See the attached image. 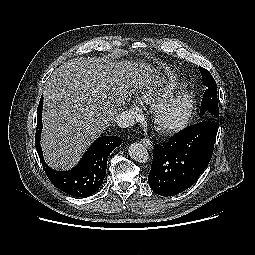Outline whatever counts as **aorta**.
I'll return each instance as SVG.
<instances>
[{
	"label": "aorta",
	"instance_id": "762f6f07",
	"mask_svg": "<svg viewBox=\"0 0 255 255\" xmlns=\"http://www.w3.org/2000/svg\"><path fill=\"white\" fill-rule=\"evenodd\" d=\"M130 157L140 163H145L149 159L147 149L141 143H132L128 149Z\"/></svg>",
	"mask_w": 255,
	"mask_h": 255
}]
</instances>
